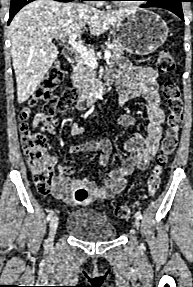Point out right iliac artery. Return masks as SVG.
Masks as SVG:
<instances>
[{
    "mask_svg": "<svg viewBox=\"0 0 193 287\" xmlns=\"http://www.w3.org/2000/svg\"><path fill=\"white\" fill-rule=\"evenodd\" d=\"M54 212L53 211H50L48 216H47V221H50L52 216H53Z\"/></svg>",
    "mask_w": 193,
    "mask_h": 287,
    "instance_id": "82829eb1",
    "label": "right iliac artery"
}]
</instances>
